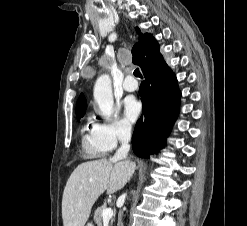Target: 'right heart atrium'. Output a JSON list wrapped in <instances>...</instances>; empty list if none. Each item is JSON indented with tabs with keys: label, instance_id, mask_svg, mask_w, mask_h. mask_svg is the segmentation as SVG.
<instances>
[{
	"label": "right heart atrium",
	"instance_id": "1",
	"mask_svg": "<svg viewBox=\"0 0 247 226\" xmlns=\"http://www.w3.org/2000/svg\"><path fill=\"white\" fill-rule=\"evenodd\" d=\"M95 134L98 141L110 151L119 143L130 138L131 126L128 122L115 115L110 122L96 124Z\"/></svg>",
	"mask_w": 247,
	"mask_h": 226
}]
</instances>
